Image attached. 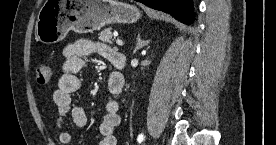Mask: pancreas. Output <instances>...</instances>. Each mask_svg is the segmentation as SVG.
Instances as JSON below:
<instances>
[{"mask_svg":"<svg viewBox=\"0 0 276 145\" xmlns=\"http://www.w3.org/2000/svg\"><path fill=\"white\" fill-rule=\"evenodd\" d=\"M112 28L108 27L99 33V40L102 42L112 44Z\"/></svg>","mask_w":276,"mask_h":145,"instance_id":"pancreas-1","label":"pancreas"}]
</instances>
